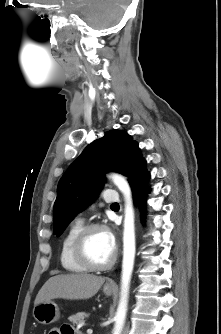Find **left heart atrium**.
Returning <instances> with one entry per match:
<instances>
[{
    "label": "left heart atrium",
    "mask_w": 221,
    "mask_h": 334,
    "mask_svg": "<svg viewBox=\"0 0 221 334\" xmlns=\"http://www.w3.org/2000/svg\"><path fill=\"white\" fill-rule=\"evenodd\" d=\"M110 242L115 246V237L111 232H108Z\"/></svg>",
    "instance_id": "1"
}]
</instances>
